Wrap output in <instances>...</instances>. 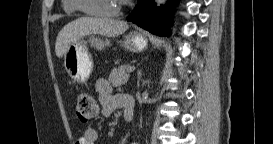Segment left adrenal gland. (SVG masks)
<instances>
[{"mask_svg":"<svg viewBox=\"0 0 273 144\" xmlns=\"http://www.w3.org/2000/svg\"><path fill=\"white\" fill-rule=\"evenodd\" d=\"M142 76L141 70L138 71V79L140 80Z\"/></svg>","mask_w":273,"mask_h":144,"instance_id":"1","label":"left adrenal gland"}]
</instances>
